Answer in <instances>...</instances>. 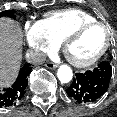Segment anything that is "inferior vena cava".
<instances>
[{"label": "inferior vena cava", "instance_id": "obj_1", "mask_svg": "<svg viewBox=\"0 0 117 117\" xmlns=\"http://www.w3.org/2000/svg\"><path fill=\"white\" fill-rule=\"evenodd\" d=\"M26 59L29 63L39 65L46 61V54L40 50H31L26 54Z\"/></svg>", "mask_w": 117, "mask_h": 117}]
</instances>
